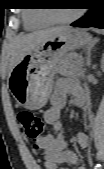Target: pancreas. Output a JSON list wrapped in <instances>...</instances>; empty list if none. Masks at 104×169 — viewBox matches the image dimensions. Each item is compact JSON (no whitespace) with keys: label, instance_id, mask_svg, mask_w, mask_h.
Returning a JSON list of instances; mask_svg holds the SVG:
<instances>
[{"label":"pancreas","instance_id":"obj_1","mask_svg":"<svg viewBox=\"0 0 104 169\" xmlns=\"http://www.w3.org/2000/svg\"><path fill=\"white\" fill-rule=\"evenodd\" d=\"M63 65L60 69L62 75H82L83 74V61L82 59L74 54H66L63 59ZM66 69L68 71H66Z\"/></svg>","mask_w":104,"mask_h":169}]
</instances>
